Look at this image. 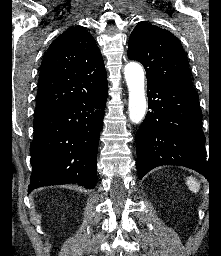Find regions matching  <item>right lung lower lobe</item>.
I'll list each match as a JSON object with an SVG mask.
<instances>
[{"instance_id":"right-lung-lower-lobe-1","label":"right lung lower lobe","mask_w":221,"mask_h":256,"mask_svg":"<svg viewBox=\"0 0 221 256\" xmlns=\"http://www.w3.org/2000/svg\"><path fill=\"white\" fill-rule=\"evenodd\" d=\"M106 100L107 87L99 93L35 115L28 191L72 182L89 189L95 187Z\"/></svg>"}]
</instances>
